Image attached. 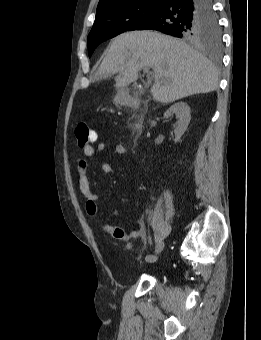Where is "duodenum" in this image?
I'll use <instances>...</instances> for the list:
<instances>
[{
    "label": "duodenum",
    "mask_w": 261,
    "mask_h": 340,
    "mask_svg": "<svg viewBox=\"0 0 261 340\" xmlns=\"http://www.w3.org/2000/svg\"><path fill=\"white\" fill-rule=\"evenodd\" d=\"M141 127H142L141 124H137V125H135L134 130L139 131L141 129Z\"/></svg>",
    "instance_id": "410a0bca"
}]
</instances>
